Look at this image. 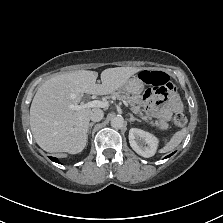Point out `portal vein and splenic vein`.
<instances>
[{
    "instance_id": "portal-vein-and-splenic-vein-1",
    "label": "portal vein and splenic vein",
    "mask_w": 223,
    "mask_h": 223,
    "mask_svg": "<svg viewBox=\"0 0 223 223\" xmlns=\"http://www.w3.org/2000/svg\"><path fill=\"white\" fill-rule=\"evenodd\" d=\"M122 103L126 106V108H129V104L125 101V99H122ZM70 109L72 110H80L84 108H94V107H99V108H108L109 107V102L108 101H99V100H94L90 101L88 103H83L80 105H70Z\"/></svg>"
}]
</instances>
